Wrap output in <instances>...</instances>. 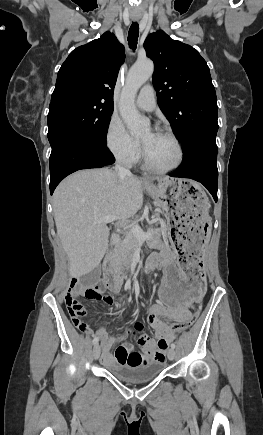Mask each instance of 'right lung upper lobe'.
Returning <instances> with one entry per match:
<instances>
[{
    "label": "right lung upper lobe",
    "mask_w": 263,
    "mask_h": 435,
    "mask_svg": "<svg viewBox=\"0 0 263 435\" xmlns=\"http://www.w3.org/2000/svg\"><path fill=\"white\" fill-rule=\"evenodd\" d=\"M124 52L123 45L110 32L74 49L58 72L50 106L76 100L113 104Z\"/></svg>",
    "instance_id": "obj_1"
}]
</instances>
